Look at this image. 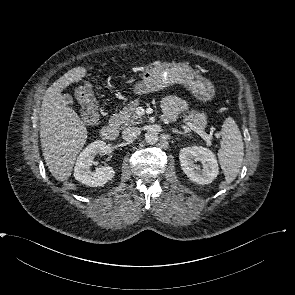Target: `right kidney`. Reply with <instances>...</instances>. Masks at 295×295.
<instances>
[{
  "instance_id": "right-kidney-1",
  "label": "right kidney",
  "mask_w": 295,
  "mask_h": 295,
  "mask_svg": "<svg viewBox=\"0 0 295 295\" xmlns=\"http://www.w3.org/2000/svg\"><path fill=\"white\" fill-rule=\"evenodd\" d=\"M107 151V145L104 141L97 140L89 144L78 156L74 168L75 179L91 187L102 186L112 180L115 171L109 166L97 167L94 172L91 171L94 156L106 154Z\"/></svg>"
}]
</instances>
